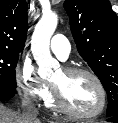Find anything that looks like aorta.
I'll list each match as a JSON object with an SVG mask.
<instances>
[{"label":"aorta","mask_w":118,"mask_h":123,"mask_svg":"<svg viewBox=\"0 0 118 123\" xmlns=\"http://www.w3.org/2000/svg\"><path fill=\"white\" fill-rule=\"evenodd\" d=\"M58 23L56 14L43 15L31 39V51L36 63L39 66L38 74L41 77H49L52 74V68L58 62L50 54V39Z\"/></svg>","instance_id":"obj_1"}]
</instances>
